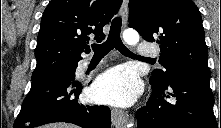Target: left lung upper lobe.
<instances>
[{"mask_svg":"<svg viewBox=\"0 0 221 128\" xmlns=\"http://www.w3.org/2000/svg\"><path fill=\"white\" fill-rule=\"evenodd\" d=\"M129 27L160 46L159 63L150 82L165 86L177 73L210 77L202 18L192 0H129Z\"/></svg>","mask_w":221,"mask_h":128,"instance_id":"5c2ea615","label":"left lung upper lobe"}]
</instances>
